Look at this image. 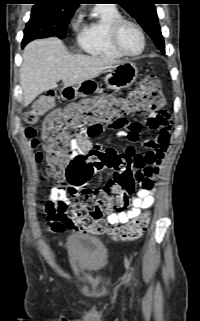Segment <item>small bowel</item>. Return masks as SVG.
Returning <instances> with one entry per match:
<instances>
[{
    "mask_svg": "<svg viewBox=\"0 0 200 321\" xmlns=\"http://www.w3.org/2000/svg\"><path fill=\"white\" fill-rule=\"evenodd\" d=\"M134 88H138V85H134ZM131 91L132 88L130 86H127L122 91L115 92L114 89H109L107 85L99 89L100 94L114 92L115 98H122ZM145 123L149 128L158 132L154 139L144 142V147L147 149L146 152H137L134 147L129 146L123 153L119 154L129 159L134 169L140 175V188L130 197L129 207L126 211L108 214L107 222L110 225H123L129 220L138 217L142 209H147L154 204L156 193L155 180L159 174L160 164L164 154L169 148L171 121L166 111L158 110L149 112L146 116ZM116 128L119 129L116 133L118 137L133 143L136 142L139 137L141 124L123 120ZM70 147L71 157L89 153L93 150L115 152L113 149H102L100 145L92 143L87 136L82 135L72 139ZM47 204L54 206L53 212L46 211L48 226L52 231L64 232L74 228V225L65 219V215L71 206L69 191L59 185L52 187L49 191Z\"/></svg>",
    "mask_w": 200,
    "mask_h": 321,
    "instance_id": "obj_1",
    "label": "small bowel"
}]
</instances>
